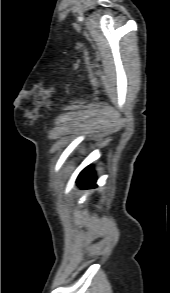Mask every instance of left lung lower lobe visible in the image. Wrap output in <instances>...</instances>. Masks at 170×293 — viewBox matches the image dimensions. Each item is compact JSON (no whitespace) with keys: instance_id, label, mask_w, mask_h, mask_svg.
<instances>
[{"instance_id":"obj_1","label":"left lung lower lobe","mask_w":170,"mask_h":293,"mask_svg":"<svg viewBox=\"0 0 170 293\" xmlns=\"http://www.w3.org/2000/svg\"><path fill=\"white\" fill-rule=\"evenodd\" d=\"M95 182V174L90 167L84 169L77 179V183L83 188L95 187Z\"/></svg>"}]
</instances>
